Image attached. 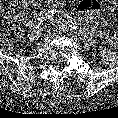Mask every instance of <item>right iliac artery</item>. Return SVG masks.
Here are the masks:
<instances>
[{
	"mask_svg": "<svg viewBox=\"0 0 118 118\" xmlns=\"http://www.w3.org/2000/svg\"><path fill=\"white\" fill-rule=\"evenodd\" d=\"M53 15H54V11L53 10H50V11L45 12V14H42V15H40L37 18L38 23L40 24L43 21H46L47 19H50Z\"/></svg>",
	"mask_w": 118,
	"mask_h": 118,
	"instance_id": "82829eb1",
	"label": "right iliac artery"
}]
</instances>
